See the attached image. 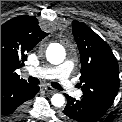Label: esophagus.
Instances as JSON below:
<instances>
[{"instance_id": "34e87169", "label": "esophagus", "mask_w": 122, "mask_h": 122, "mask_svg": "<svg viewBox=\"0 0 122 122\" xmlns=\"http://www.w3.org/2000/svg\"><path fill=\"white\" fill-rule=\"evenodd\" d=\"M48 93H55L56 92V90L54 89V88H52L51 86H49V85H45L44 87H43Z\"/></svg>"}]
</instances>
